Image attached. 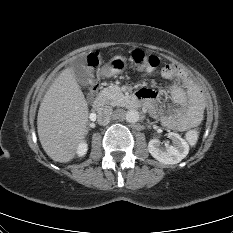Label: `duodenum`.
Segmentation results:
<instances>
[{
  "instance_id": "1",
  "label": "duodenum",
  "mask_w": 233,
  "mask_h": 233,
  "mask_svg": "<svg viewBox=\"0 0 233 233\" xmlns=\"http://www.w3.org/2000/svg\"><path fill=\"white\" fill-rule=\"evenodd\" d=\"M141 97L137 94L135 97H131L130 100L128 101V105L130 107H136L140 103ZM106 104V98L104 95L98 96L94 102H93V107L95 109H102Z\"/></svg>"
}]
</instances>
